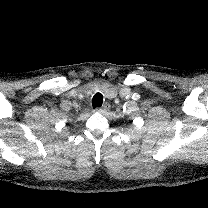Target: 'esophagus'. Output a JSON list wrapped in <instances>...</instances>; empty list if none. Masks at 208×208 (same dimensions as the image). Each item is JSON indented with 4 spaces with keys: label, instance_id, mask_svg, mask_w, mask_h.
Returning <instances> with one entry per match:
<instances>
[{
    "label": "esophagus",
    "instance_id": "1",
    "mask_svg": "<svg viewBox=\"0 0 208 208\" xmlns=\"http://www.w3.org/2000/svg\"><path fill=\"white\" fill-rule=\"evenodd\" d=\"M110 104L109 103H105V104H103L101 107H98L97 109H96V111L97 112H99V113H102V114H104V113H107L109 110H110Z\"/></svg>",
    "mask_w": 208,
    "mask_h": 208
}]
</instances>
